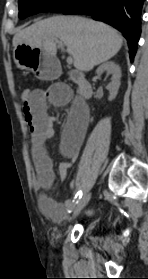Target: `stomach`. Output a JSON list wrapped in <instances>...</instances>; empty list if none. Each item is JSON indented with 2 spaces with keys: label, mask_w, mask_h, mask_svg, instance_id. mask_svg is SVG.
Instances as JSON below:
<instances>
[{
  "label": "stomach",
  "mask_w": 148,
  "mask_h": 279,
  "mask_svg": "<svg viewBox=\"0 0 148 279\" xmlns=\"http://www.w3.org/2000/svg\"><path fill=\"white\" fill-rule=\"evenodd\" d=\"M13 59H16L18 66L24 69L22 75L40 78V82H55V78L60 73L58 60L39 48L24 44L18 45L15 48Z\"/></svg>",
  "instance_id": "obj_1"
}]
</instances>
